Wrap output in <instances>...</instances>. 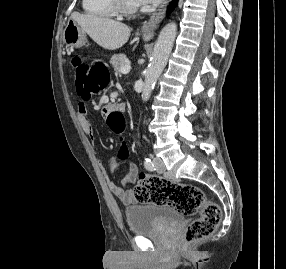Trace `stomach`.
<instances>
[{"label": "stomach", "instance_id": "0dacf381", "mask_svg": "<svg viewBox=\"0 0 286 269\" xmlns=\"http://www.w3.org/2000/svg\"><path fill=\"white\" fill-rule=\"evenodd\" d=\"M63 42L72 48H79L85 44V32L74 20L67 22L63 31Z\"/></svg>", "mask_w": 286, "mask_h": 269}]
</instances>
